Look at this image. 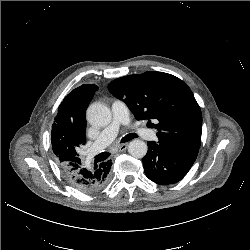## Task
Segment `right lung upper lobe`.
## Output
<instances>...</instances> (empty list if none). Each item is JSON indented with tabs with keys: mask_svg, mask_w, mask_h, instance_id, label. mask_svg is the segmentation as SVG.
I'll use <instances>...</instances> for the list:
<instances>
[{
	"mask_svg": "<svg viewBox=\"0 0 250 250\" xmlns=\"http://www.w3.org/2000/svg\"><path fill=\"white\" fill-rule=\"evenodd\" d=\"M98 87L84 84L61 102L52 125V149L60 166L80 163L78 147L86 142V109Z\"/></svg>",
	"mask_w": 250,
	"mask_h": 250,
	"instance_id": "1",
	"label": "right lung upper lobe"
}]
</instances>
